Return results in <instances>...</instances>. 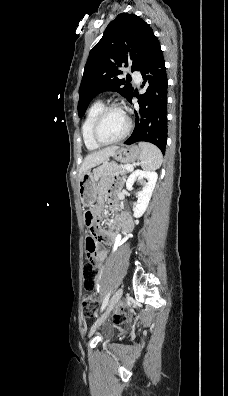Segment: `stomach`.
Instances as JSON below:
<instances>
[{"label":"stomach","instance_id":"0dacf381","mask_svg":"<svg viewBox=\"0 0 228 396\" xmlns=\"http://www.w3.org/2000/svg\"><path fill=\"white\" fill-rule=\"evenodd\" d=\"M140 155L141 149L136 145L121 147L112 154L115 160L123 164L135 162L140 158ZM97 173L98 169L93 172H91V170H87L79 178L78 194L84 207H91L97 199Z\"/></svg>","mask_w":228,"mask_h":396}]
</instances>
